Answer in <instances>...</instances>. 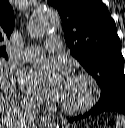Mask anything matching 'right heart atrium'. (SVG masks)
<instances>
[{
  "instance_id": "d8ad5b80",
  "label": "right heart atrium",
  "mask_w": 125,
  "mask_h": 128,
  "mask_svg": "<svg viewBox=\"0 0 125 128\" xmlns=\"http://www.w3.org/2000/svg\"><path fill=\"white\" fill-rule=\"evenodd\" d=\"M24 103L26 104V105H31V102L30 101H28V100H24Z\"/></svg>"
}]
</instances>
